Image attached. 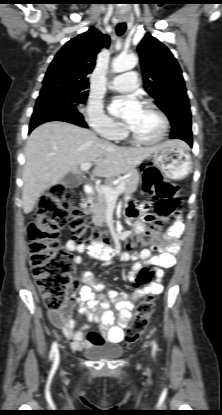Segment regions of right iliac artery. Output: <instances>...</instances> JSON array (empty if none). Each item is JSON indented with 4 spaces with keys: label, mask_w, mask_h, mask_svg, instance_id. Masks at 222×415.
<instances>
[{
    "label": "right iliac artery",
    "mask_w": 222,
    "mask_h": 415,
    "mask_svg": "<svg viewBox=\"0 0 222 415\" xmlns=\"http://www.w3.org/2000/svg\"><path fill=\"white\" fill-rule=\"evenodd\" d=\"M53 357H55L54 365L57 366L58 361H59V355H58V347H57L56 342L52 344V348L50 352V358H53Z\"/></svg>",
    "instance_id": "right-iliac-artery-1"
}]
</instances>
